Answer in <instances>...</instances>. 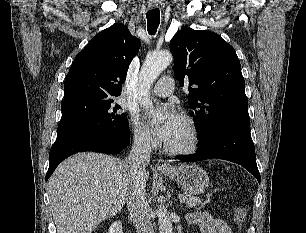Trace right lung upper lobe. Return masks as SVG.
Instances as JSON below:
<instances>
[{
  "instance_id": "right-lung-upper-lobe-1",
  "label": "right lung upper lobe",
  "mask_w": 306,
  "mask_h": 233,
  "mask_svg": "<svg viewBox=\"0 0 306 233\" xmlns=\"http://www.w3.org/2000/svg\"><path fill=\"white\" fill-rule=\"evenodd\" d=\"M139 48L140 41L123 24L98 33L72 63L65 78L63 102L121 95L129 64Z\"/></svg>"
}]
</instances>
